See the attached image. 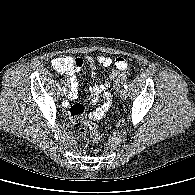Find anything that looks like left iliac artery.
Listing matches in <instances>:
<instances>
[{"instance_id":"obj_1","label":"left iliac artery","mask_w":195,"mask_h":195,"mask_svg":"<svg viewBox=\"0 0 195 195\" xmlns=\"http://www.w3.org/2000/svg\"><path fill=\"white\" fill-rule=\"evenodd\" d=\"M124 89H125V90L128 89V85H127V84L124 85Z\"/></svg>"}]
</instances>
